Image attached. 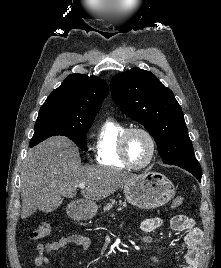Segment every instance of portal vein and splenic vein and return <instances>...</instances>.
<instances>
[{"label":"portal vein and splenic vein","instance_id":"obj_1","mask_svg":"<svg viewBox=\"0 0 221 268\" xmlns=\"http://www.w3.org/2000/svg\"><path fill=\"white\" fill-rule=\"evenodd\" d=\"M78 187L82 189V188H85L86 185H85L84 183H80V184L78 185Z\"/></svg>","mask_w":221,"mask_h":268}]
</instances>
